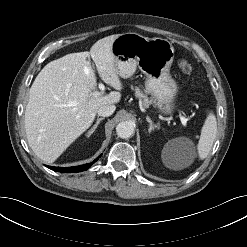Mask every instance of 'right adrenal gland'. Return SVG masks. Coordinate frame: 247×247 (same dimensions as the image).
I'll list each match as a JSON object with an SVG mask.
<instances>
[{
    "instance_id": "1",
    "label": "right adrenal gland",
    "mask_w": 247,
    "mask_h": 247,
    "mask_svg": "<svg viewBox=\"0 0 247 247\" xmlns=\"http://www.w3.org/2000/svg\"><path fill=\"white\" fill-rule=\"evenodd\" d=\"M104 120V118H98L96 123L94 124V126L88 131V137H90L93 132L95 131V129L97 128V126L99 125V123Z\"/></svg>"
}]
</instances>
